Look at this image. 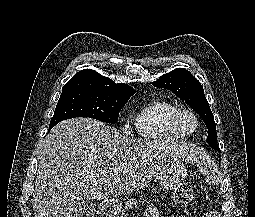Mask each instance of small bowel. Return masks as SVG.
I'll list each match as a JSON object with an SVG mask.
<instances>
[{"label":"small bowel","mask_w":255,"mask_h":217,"mask_svg":"<svg viewBox=\"0 0 255 217\" xmlns=\"http://www.w3.org/2000/svg\"><path fill=\"white\" fill-rule=\"evenodd\" d=\"M145 217H159V210L155 205H150L145 212ZM201 217H223L221 213L217 211L205 212Z\"/></svg>","instance_id":"obj_1"}]
</instances>
